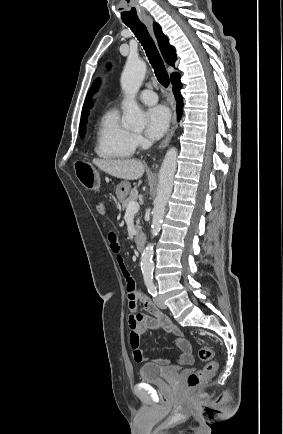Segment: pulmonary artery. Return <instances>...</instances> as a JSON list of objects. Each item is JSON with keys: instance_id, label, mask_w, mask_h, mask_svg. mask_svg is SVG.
Returning <instances> with one entry per match:
<instances>
[{"instance_id": "e3ab8cb5", "label": "pulmonary artery", "mask_w": 283, "mask_h": 434, "mask_svg": "<svg viewBox=\"0 0 283 434\" xmlns=\"http://www.w3.org/2000/svg\"><path fill=\"white\" fill-rule=\"evenodd\" d=\"M138 98L144 104H154L158 100L156 93L149 89L142 90Z\"/></svg>"}]
</instances>
